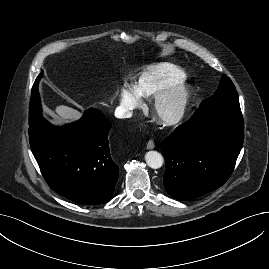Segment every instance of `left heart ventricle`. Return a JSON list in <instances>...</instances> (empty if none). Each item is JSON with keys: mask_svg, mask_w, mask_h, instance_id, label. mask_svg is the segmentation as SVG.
Returning a JSON list of instances; mask_svg holds the SVG:
<instances>
[{"mask_svg": "<svg viewBox=\"0 0 269 269\" xmlns=\"http://www.w3.org/2000/svg\"><path fill=\"white\" fill-rule=\"evenodd\" d=\"M172 109H173V106L169 104V105H165L162 110L164 113H170Z\"/></svg>", "mask_w": 269, "mask_h": 269, "instance_id": "1", "label": "left heart ventricle"}]
</instances>
